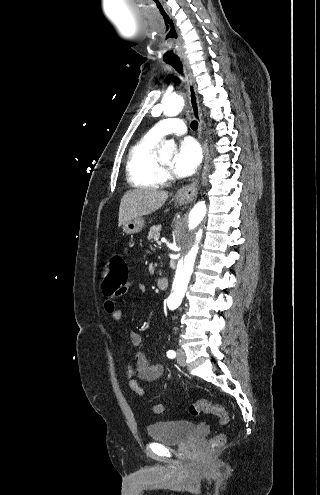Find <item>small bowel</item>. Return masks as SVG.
I'll return each mask as SVG.
<instances>
[{
	"mask_svg": "<svg viewBox=\"0 0 320 495\" xmlns=\"http://www.w3.org/2000/svg\"><path fill=\"white\" fill-rule=\"evenodd\" d=\"M132 289H137L143 293L145 291V285L134 284L129 282L124 285L122 292L105 293L106 300L104 303L105 311L111 315L114 321H119L122 318L123 312L117 308V299L123 294L129 292ZM129 339L131 344L137 348V352L134 357L135 366H129L126 370V375L130 379V388L138 393L143 394V389L139 386L138 382L133 379L137 375L140 379L148 382H153L160 379L164 374V365L162 363H151L145 352V343L141 334L135 330L129 332Z\"/></svg>",
	"mask_w": 320,
	"mask_h": 495,
	"instance_id": "1",
	"label": "small bowel"
}]
</instances>
